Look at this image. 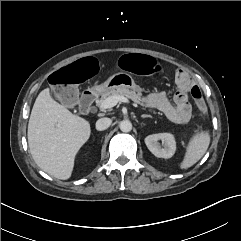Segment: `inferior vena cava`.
Segmentation results:
<instances>
[{
	"label": "inferior vena cava",
	"instance_id": "602c4592",
	"mask_svg": "<svg viewBox=\"0 0 241 241\" xmlns=\"http://www.w3.org/2000/svg\"><path fill=\"white\" fill-rule=\"evenodd\" d=\"M112 121L110 118H100L96 122V129L98 131H103L111 125Z\"/></svg>",
	"mask_w": 241,
	"mask_h": 241
}]
</instances>
